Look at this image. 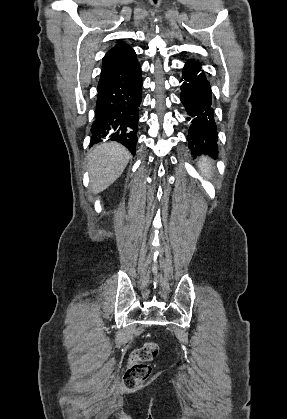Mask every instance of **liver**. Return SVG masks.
Masks as SVG:
<instances>
[{
    "instance_id": "6515ba94",
    "label": "liver",
    "mask_w": 287,
    "mask_h": 419,
    "mask_svg": "<svg viewBox=\"0 0 287 419\" xmlns=\"http://www.w3.org/2000/svg\"><path fill=\"white\" fill-rule=\"evenodd\" d=\"M130 152L117 142L96 145L88 156L90 191L96 195L109 187L124 171Z\"/></svg>"
}]
</instances>
